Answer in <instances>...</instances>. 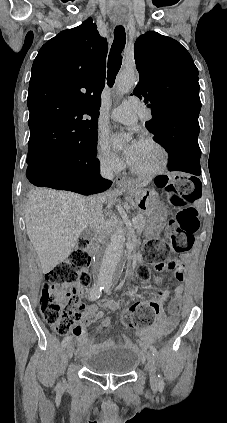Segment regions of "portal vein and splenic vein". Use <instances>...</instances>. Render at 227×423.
Returning <instances> with one entry per match:
<instances>
[{"label":"portal vein and splenic vein","instance_id":"portal-vein-and-splenic-vein-1","mask_svg":"<svg viewBox=\"0 0 227 423\" xmlns=\"http://www.w3.org/2000/svg\"><path fill=\"white\" fill-rule=\"evenodd\" d=\"M133 223H138V217H132Z\"/></svg>","mask_w":227,"mask_h":423}]
</instances>
